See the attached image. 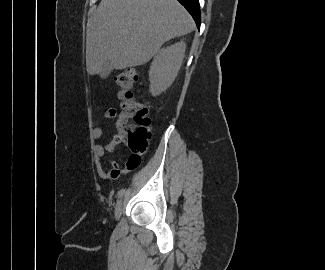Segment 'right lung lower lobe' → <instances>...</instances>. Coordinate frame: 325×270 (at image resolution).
Masks as SVG:
<instances>
[{
	"mask_svg": "<svg viewBox=\"0 0 325 270\" xmlns=\"http://www.w3.org/2000/svg\"><path fill=\"white\" fill-rule=\"evenodd\" d=\"M191 14L193 19L196 22L198 28H200L201 23V14H200V6L198 0H178Z\"/></svg>",
	"mask_w": 325,
	"mask_h": 270,
	"instance_id": "98d812e1",
	"label": "right lung lower lobe"
}]
</instances>
